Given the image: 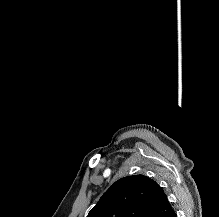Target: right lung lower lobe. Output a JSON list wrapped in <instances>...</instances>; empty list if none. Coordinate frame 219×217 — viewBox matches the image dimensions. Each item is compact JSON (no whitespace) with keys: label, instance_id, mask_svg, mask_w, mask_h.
<instances>
[{"label":"right lung lower lobe","instance_id":"obj_1","mask_svg":"<svg viewBox=\"0 0 219 217\" xmlns=\"http://www.w3.org/2000/svg\"><path fill=\"white\" fill-rule=\"evenodd\" d=\"M168 217H177L175 212L173 211Z\"/></svg>","mask_w":219,"mask_h":217}]
</instances>
